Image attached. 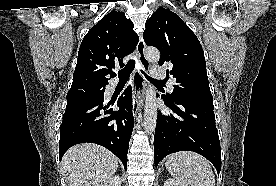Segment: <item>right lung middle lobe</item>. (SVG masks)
<instances>
[{
    "label": "right lung middle lobe",
    "instance_id": "1",
    "mask_svg": "<svg viewBox=\"0 0 276 186\" xmlns=\"http://www.w3.org/2000/svg\"><path fill=\"white\" fill-rule=\"evenodd\" d=\"M105 86H80L67 93V107L101 102L104 99Z\"/></svg>",
    "mask_w": 276,
    "mask_h": 186
}]
</instances>
